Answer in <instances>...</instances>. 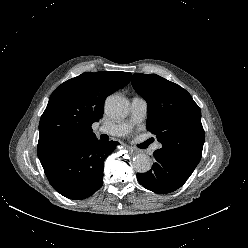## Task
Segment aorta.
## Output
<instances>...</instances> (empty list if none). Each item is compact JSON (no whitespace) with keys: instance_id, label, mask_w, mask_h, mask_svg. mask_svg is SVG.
I'll return each instance as SVG.
<instances>
[{"instance_id":"aorta-1","label":"aorta","mask_w":248,"mask_h":248,"mask_svg":"<svg viewBox=\"0 0 248 248\" xmlns=\"http://www.w3.org/2000/svg\"><path fill=\"white\" fill-rule=\"evenodd\" d=\"M105 110L112 118H125L129 112V102L123 96L111 95L106 99ZM151 166V159L146 154H138L133 159V167L138 173L148 172Z\"/></svg>"}]
</instances>
